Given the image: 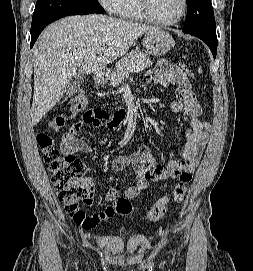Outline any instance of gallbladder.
<instances>
[{
	"label": "gallbladder",
	"mask_w": 253,
	"mask_h": 271,
	"mask_svg": "<svg viewBox=\"0 0 253 271\" xmlns=\"http://www.w3.org/2000/svg\"><path fill=\"white\" fill-rule=\"evenodd\" d=\"M83 80L84 75L81 73H76L65 87L66 95L72 96L73 94L77 93Z\"/></svg>",
	"instance_id": "gallbladder-1"
}]
</instances>
